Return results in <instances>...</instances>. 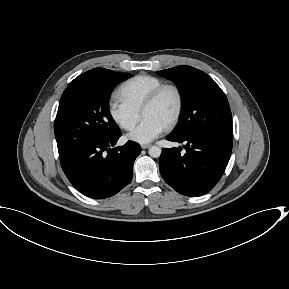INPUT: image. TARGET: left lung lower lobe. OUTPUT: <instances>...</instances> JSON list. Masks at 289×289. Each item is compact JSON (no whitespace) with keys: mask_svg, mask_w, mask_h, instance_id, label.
Wrapping results in <instances>:
<instances>
[{"mask_svg":"<svg viewBox=\"0 0 289 289\" xmlns=\"http://www.w3.org/2000/svg\"><path fill=\"white\" fill-rule=\"evenodd\" d=\"M166 139L186 143V153H180L181 147L162 149L159 168L164 180L177 192L190 197L210 191L222 177L230 159L231 136L172 133Z\"/></svg>","mask_w":289,"mask_h":289,"instance_id":"1","label":"left lung lower lobe"}]
</instances>
